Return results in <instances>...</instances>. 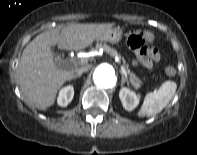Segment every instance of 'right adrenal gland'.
<instances>
[{"label": "right adrenal gland", "instance_id": "2a0ac1e0", "mask_svg": "<svg viewBox=\"0 0 197 155\" xmlns=\"http://www.w3.org/2000/svg\"><path fill=\"white\" fill-rule=\"evenodd\" d=\"M80 76H81L80 74H75V75H73L72 79L79 78Z\"/></svg>", "mask_w": 197, "mask_h": 155}]
</instances>
